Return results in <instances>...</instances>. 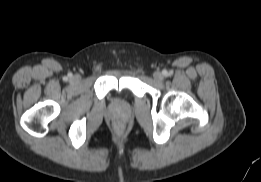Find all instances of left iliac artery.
Returning <instances> with one entry per match:
<instances>
[{
	"label": "left iliac artery",
	"instance_id": "obj_1",
	"mask_svg": "<svg viewBox=\"0 0 261 182\" xmlns=\"http://www.w3.org/2000/svg\"><path fill=\"white\" fill-rule=\"evenodd\" d=\"M163 74H164L165 76H167V75H168V72H167V71H164Z\"/></svg>",
	"mask_w": 261,
	"mask_h": 182
}]
</instances>
